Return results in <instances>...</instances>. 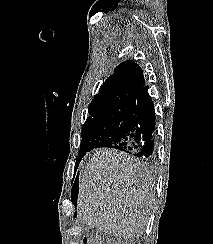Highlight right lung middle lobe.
<instances>
[{"mask_svg":"<svg viewBox=\"0 0 213 244\" xmlns=\"http://www.w3.org/2000/svg\"><path fill=\"white\" fill-rule=\"evenodd\" d=\"M135 98L136 96L117 95L90 103V116L83 125L79 155L117 132L121 122L130 115Z\"/></svg>","mask_w":213,"mask_h":244,"instance_id":"right-lung-middle-lobe-1","label":"right lung middle lobe"}]
</instances>
